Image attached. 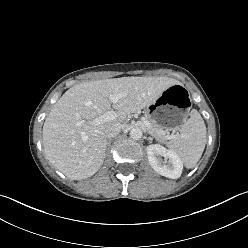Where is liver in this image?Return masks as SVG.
Here are the masks:
<instances>
[{"mask_svg":"<svg viewBox=\"0 0 248 248\" xmlns=\"http://www.w3.org/2000/svg\"><path fill=\"white\" fill-rule=\"evenodd\" d=\"M168 77H121L74 85L54 104L43 125L47 159L72 180L93 176L102 166L107 147L105 130L121 124L128 115L153 104L170 86ZM124 94L116 103L111 94ZM112 107L117 118L101 124L93 121Z\"/></svg>","mask_w":248,"mask_h":248,"instance_id":"liver-1","label":"liver"}]
</instances>
